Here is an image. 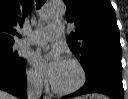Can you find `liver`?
Wrapping results in <instances>:
<instances>
[{"instance_id":"liver-1","label":"liver","mask_w":128,"mask_h":99,"mask_svg":"<svg viewBox=\"0 0 128 99\" xmlns=\"http://www.w3.org/2000/svg\"><path fill=\"white\" fill-rule=\"evenodd\" d=\"M0 99H15L14 96L8 94L7 92L0 90ZM83 99H87V97H83ZM90 99H106V97L98 94L90 95Z\"/></svg>"}]
</instances>
